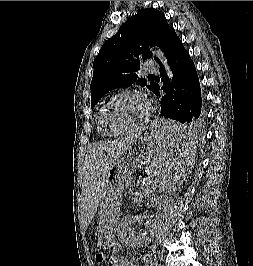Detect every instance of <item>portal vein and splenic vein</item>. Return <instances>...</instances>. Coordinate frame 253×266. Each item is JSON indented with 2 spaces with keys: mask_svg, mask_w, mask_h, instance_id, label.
<instances>
[{
  "mask_svg": "<svg viewBox=\"0 0 253 266\" xmlns=\"http://www.w3.org/2000/svg\"><path fill=\"white\" fill-rule=\"evenodd\" d=\"M148 189V188H147ZM143 194H146V192L144 191ZM140 197H142V194H140Z\"/></svg>",
  "mask_w": 253,
  "mask_h": 266,
  "instance_id": "1",
  "label": "portal vein and splenic vein"
}]
</instances>
